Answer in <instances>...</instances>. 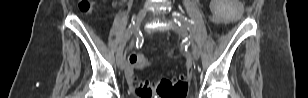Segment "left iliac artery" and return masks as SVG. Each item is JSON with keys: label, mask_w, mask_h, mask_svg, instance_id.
<instances>
[{"label": "left iliac artery", "mask_w": 308, "mask_h": 98, "mask_svg": "<svg viewBox=\"0 0 308 98\" xmlns=\"http://www.w3.org/2000/svg\"><path fill=\"white\" fill-rule=\"evenodd\" d=\"M172 15L174 17L175 23H177L179 26H187L188 28H191L192 25L194 24L193 21H190L187 17L183 16L182 14L178 12H173Z\"/></svg>", "instance_id": "1"}]
</instances>
